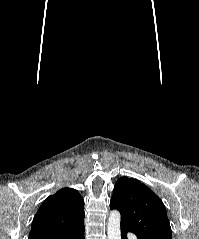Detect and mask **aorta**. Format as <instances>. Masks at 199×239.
Here are the masks:
<instances>
[{
  "label": "aorta",
  "instance_id": "obj_1",
  "mask_svg": "<svg viewBox=\"0 0 199 239\" xmlns=\"http://www.w3.org/2000/svg\"><path fill=\"white\" fill-rule=\"evenodd\" d=\"M107 234L108 239H121L120 213L117 210H113L109 215Z\"/></svg>",
  "mask_w": 199,
  "mask_h": 239
}]
</instances>
